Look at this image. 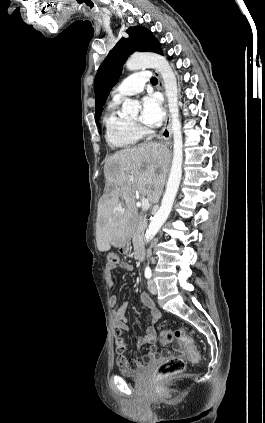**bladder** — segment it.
<instances>
[{
    "label": "bladder",
    "mask_w": 265,
    "mask_h": 423,
    "mask_svg": "<svg viewBox=\"0 0 265 423\" xmlns=\"http://www.w3.org/2000/svg\"><path fill=\"white\" fill-rule=\"evenodd\" d=\"M147 368V365L140 368H121L119 373L121 376L127 378H140L146 372Z\"/></svg>",
    "instance_id": "31cf9c89"
}]
</instances>
